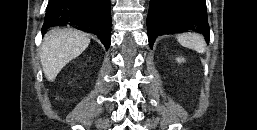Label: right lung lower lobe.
<instances>
[{"label": "right lung lower lobe", "instance_id": "1", "mask_svg": "<svg viewBox=\"0 0 257 130\" xmlns=\"http://www.w3.org/2000/svg\"><path fill=\"white\" fill-rule=\"evenodd\" d=\"M111 24L110 0H49L42 32L55 26H76L95 34L108 49Z\"/></svg>", "mask_w": 257, "mask_h": 130}]
</instances>
